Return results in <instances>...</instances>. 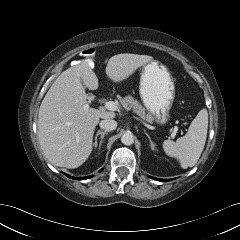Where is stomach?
<instances>
[{"instance_id": "1", "label": "stomach", "mask_w": 240, "mask_h": 240, "mask_svg": "<svg viewBox=\"0 0 240 240\" xmlns=\"http://www.w3.org/2000/svg\"><path fill=\"white\" fill-rule=\"evenodd\" d=\"M139 92L147 111L160 123L170 118V110L175 98V84L168 69L159 61H151L144 66Z\"/></svg>"}]
</instances>
